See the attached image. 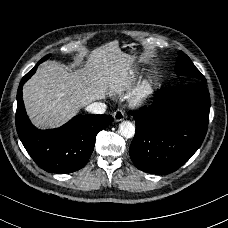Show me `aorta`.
<instances>
[{
  "mask_svg": "<svg viewBox=\"0 0 228 228\" xmlns=\"http://www.w3.org/2000/svg\"><path fill=\"white\" fill-rule=\"evenodd\" d=\"M118 131L121 136L129 139L135 135V126L130 121H122L119 124Z\"/></svg>",
  "mask_w": 228,
  "mask_h": 228,
  "instance_id": "aorta-1",
  "label": "aorta"
}]
</instances>
